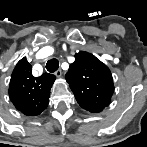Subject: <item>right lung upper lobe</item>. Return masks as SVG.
<instances>
[{
  "mask_svg": "<svg viewBox=\"0 0 147 147\" xmlns=\"http://www.w3.org/2000/svg\"><path fill=\"white\" fill-rule=\"evenodd\" d=\"M31 70L26 58L17 63L11 75L9 97L24 115L37 116L48 106L50 89L56 77L48 73L34 77Z\"/></svg>",
  "mask_w": 147,
  "mask_h": 147,
  "instance_id": "right-lung-upper-lobe-1",
  "label": "right lung upper lobe"
}]
</instances>
